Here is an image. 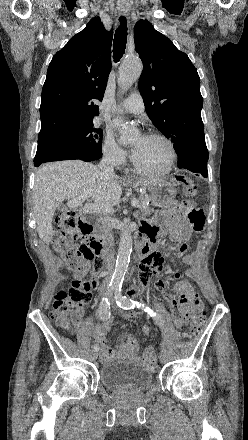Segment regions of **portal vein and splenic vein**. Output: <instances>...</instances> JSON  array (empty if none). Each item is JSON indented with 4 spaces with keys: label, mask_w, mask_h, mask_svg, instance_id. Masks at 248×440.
Returning <instances> with one entry per match:
<instances>
[{
    "label": "portal vein and splenic vein",
    "mask_w": 248,
    "mask_h": 440,
    "mask_svg": "<svg viewBox=\"0 0 248 440\" xmlns=\"http://www.w3.org/2000/svg\"><path fill=\"white\" fill-rule=\"evenodd\" d=\"M89 198V191H87L86 193H84L83 195L71 199L67 202V206L71 209L76 208L78 206H80L84 201H86ZM131 205L133 207H140V203L139 200L137 199H133L131 201ZM83 211L86 213L89 212H105V213H113L114 209L112 208V206L110 205H103L100 203H87L84 208Z\"/></svg>",
    "instance_id": "portal-vein-and-splenic-vein-1"
}]
</instances>
